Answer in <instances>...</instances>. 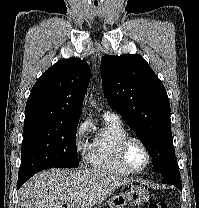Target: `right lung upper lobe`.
<instances>
[{
    "label": "right lung upper lobe",
    "instance_id": "cb5924a9",
    "mask_svg": "<svg viewBox=\"0 0 199 208\" xmlns=\"http://www.w3.org/2000/svg\"><path fill=\"white\" fill-rule=\"evenodd\" d=\"M90 81V67L79 58L57 62L35 83L26 103L25 117L79 120Z\"/></svg>",
    "mask_w": 199,
    "mask_h": 208
}]
</instances>
